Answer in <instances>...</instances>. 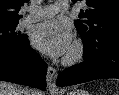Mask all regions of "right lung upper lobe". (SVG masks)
Instances as JSON below:
<instances>
[{
  "label": "right lung upper lobe",
  "mask_w": 119,
  "mask_h": 95,
  "mask_svg": "<svg viewBox=\"0 0 119 95\" xmlns=\"http://www.w3.org/2000/svg\"><path fill=\"white\" fill-rule=\"evenodd\" d=\"M29 0H0V25L18 23L22 17L18 12Z\"/></svg>",
  "instance_id": "cb5924a9"
}]
</instances>
